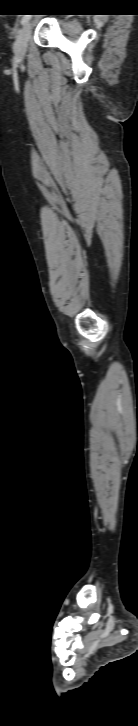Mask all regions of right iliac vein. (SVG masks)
Segmentation results:
<instances>
[{
  "label": "right iliac vein",
  "mask_w": 138,
  "mask_h": 726,
  "mask_svg": "<svg viewBox=\"0 0 138 726\" xmlns=\"http://www.w3.org/2000/svg\"><path fill=\"white\" fill-rule=\"evenodd\" d=\"M32 32V23L28 22L21 30L15 44L14 52L18 60H22L26 54L28 40Z\"/></svg>",
  "instance_id": "right-iliac-vein-1"
}]
</instances>
